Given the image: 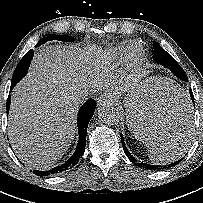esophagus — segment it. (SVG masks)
Returning <instances> with one entry per match:
<instances>
[{
    "label": "esophagus",
    "mask_w": 203,
    "mask_h": 203,
    "mask_svg": "<svg viewBox=\"0 0 203 203\" xmlns=\"http://www.w3.org/2000/svg\"><path fill=\"white\" fill-rule=\"evenodd\" d=\"M112 98L109 96V95H106V94H104V95H100L99 97H98V99H97V104L99 105V106H102V105H107V104H110V103H112Z\"/></svg>",
    "instance_id": "1"
}]
</instances>
